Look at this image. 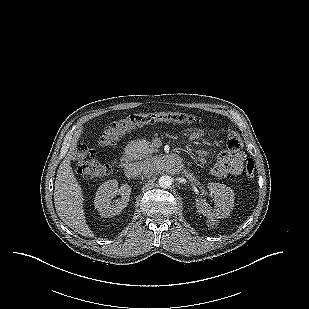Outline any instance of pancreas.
I'll list each match as a JSON object with an SVG mask.
<instances>
[{
    "instance_id": "cf45deb5",
    "label": "pancreas",
    "mask_w": 309,
    "mask_h": 309,
    "mask_svg": "<svg viewBox=\"0 0 309 309\" xmlns=\"http://www.w3.org/2000/svg\"><path fill=\"white\" fill-rule=\"evenodd\" d=\"M137 150H136V158L139 160L146 159L147 156L153 152L152 145L147 141L136 142Z\"/></svg>"
}]
</instances>
